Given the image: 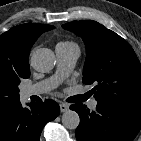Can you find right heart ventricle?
<instances>
[{"instance_id": "1", "label": "right heart ventricle", "mask_w": 141, "mask_h": 141, "mask_svg": "<svg viewBox=\"0 0 141 141\" xmlns=\"http://www.w3.org/2000/svg\"><path fill=\"white\" fill-rule=\"evenodd\" d=\"M58 45H61V46H77L75 43L69 42V41L60 42Z\"/></svg>"}]
</instances>
